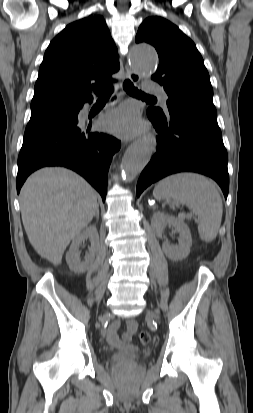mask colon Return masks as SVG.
I'll return each instance as SVG.
<instances>
[{"label": "colon", "instance_id": "5ec220e1", "mask_svg": "<svg viewBox=\"0 0 253 413\" xmlns=\"http://www.w3.org/2000/svg\"><path fill=\"white\" fill-rule=\"evenodd\" d=\"M138 339H139L141 344H148L151 340V336L148 332L142 331V332L139 333Z\"/></svg>", "mask_w": 253, "mask_h": 413}]
</instances>
